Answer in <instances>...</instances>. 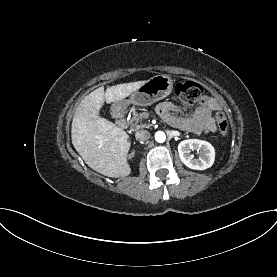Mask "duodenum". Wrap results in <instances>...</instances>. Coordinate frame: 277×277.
Instances as JSON below:
<instances>
[{"instance_id": "duodenum-1", "label": "duodenum", "mask_w": 277, "mask_h": 277, "mask_svg": "<svg viewBox=\"0 0 277 277\" xmlns=\"http://www.w3.org/2000/svg\"><path fill=\"white\" fill-rule=\"evenodd\" d=\"M112 113L116 119L117 127L124 128L126 126L125 115L127 113V110L123 107H115Z\"/></svg>"}]
</instances>
